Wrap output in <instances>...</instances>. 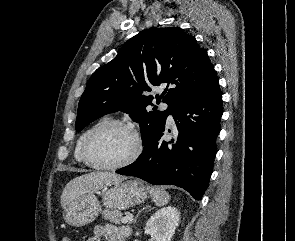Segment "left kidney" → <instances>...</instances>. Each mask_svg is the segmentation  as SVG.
<instances>
[{
  "label": "left kidney",
  "instance_id": "5707ae66",
  "mask_svg": "<svg viewBox=\"0 0 295 241\" xmlns=\"http://www.w3.org/2000/svg\"><path fill=\"white\" fill-rule=\"evenodd\" d=\"M180 212L177 208L167 206L157 210L147 221L145 234L154 241H171L179 225Z\"/></svg>",
  "mask_w": 295,
  "mask_h": 241
}]
</instances>
